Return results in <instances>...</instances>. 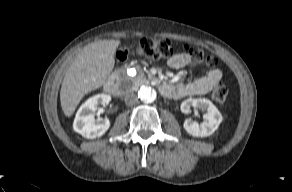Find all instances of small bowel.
<instances>
[{
	"instance_id": "1",
	"label": "small bowel",
	"mask_w": 292,
	"mask_h": 192,
	"mask_svg": "<svg viewBox=\"0 0 292 192\" xmlns=\"http://www.w3.org/2000/svg\"><path fill=\"white\" fill-rule=\"evenodd\" d=\"M189 63H191V59L188 53L175 54L168 60V65L174 69L183 68ZM221 79V71L219 69H211L204 76L193 81L182 82L175 86L169 85V89L164 95L172 98H182L205 94Z\"/></svg>"
}]
</instances>
